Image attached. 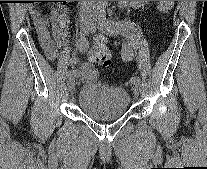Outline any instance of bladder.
<instances>
[{
    "mask_svg": "<svg viewBox=\"0 0 207 169\" xmlns=\"http://www.w3.org/2000/svg\"><path fill=\"white\" fill-rule=\"evenodd\" d=\"M130 105L127 91L98 81L84 84L78 93V107L87 117L110 121L123 117Z\"/></svg>",
    "mask_w": 207,
    "mask_h": 169,
    "instance_id": "1",
    "label": "bladder"
}]
</instances>
